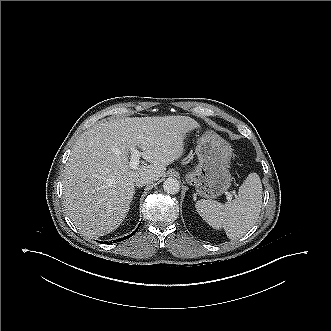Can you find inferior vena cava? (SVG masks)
<instances>
[{
    "instance_id": "1",
    "label": "inferior vena cava",
    "mask_w": 331,
    "mask_h": 331,
    "mask_svg": "<svg viewBox=\"0 0 331 331\" xmlns=\"http://www.w3.org/2000/svg\"><path fill=\"white\" fill-rule=\"evenodd\" d=\"M154 180V177L153 176H150V175H141L139 177L136 178L135 180V185L137 187H142L148 183H151L153 182Z\"/></svg>"
}]
</instances>
